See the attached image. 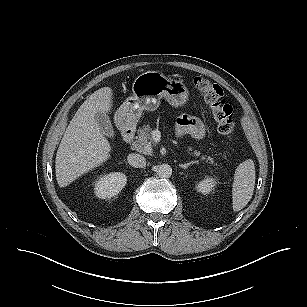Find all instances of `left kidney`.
Masks as SVG:
<instances>
[{"mask_svg": "<svg viewBox=\"0 0 307 307\" xmlns=\"http://www.w3.org/2000/svg\"><path fill=\"white\" fill-rule=\"evenodd\" d=\"M216 179L211 177H206L196 185V189L198 192L202 193L203 195L209 194L210 192L214 191L216 186Z\"/></svg>", "mask_w": 307, "mask_h": 307, "instance_id": "left-kidney-1", "label": "left kidney"}]
</instances>
